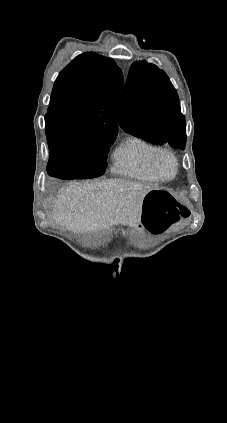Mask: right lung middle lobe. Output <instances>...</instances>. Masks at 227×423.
I'll return each mask as SVG.
<instances>
[{
    "label": "right lung middle lobe",
    "instance_id": "1",
    "mask_svg": "<svg viewBox=\"0 0 227 423\" xmlns=\"http://www.w3.org/2000/svg\"><path fill=\"white\" fill-rule=\"evenodd\" d=\"M115 138L116 136L69 137L48 141L49 163L71 166L73 171L70 179L99 177L105 172L107 154Z\"/></svg>",
    "mask_w": 227,
    "mask_h": 423
}]
</instances>
